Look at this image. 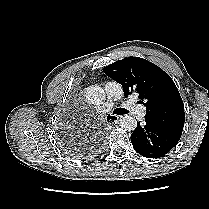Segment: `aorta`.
Returning <instances> with one entry per match:
<instances>
[{"label": "aorta", "instance_id": "1", "mask_svg": "<svg viewBox=\"0 0 209 209\" xmlns=\"http://www.w3.org/2000/svg\"><path fill=\"white\" fill-rule=\"evenodd\" d=\"M86 99L90 104L93 105H100L105 100V91L99 85H92L86 89ZM119 125L125 131H133L136 126L137 122L136 119L129 115H124L121 117Z\"/></svg>", "mask_w": 209, "mask_h": 209}]
</instances>
